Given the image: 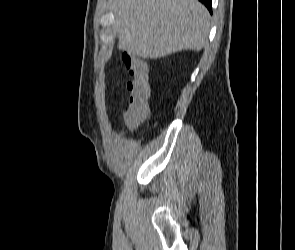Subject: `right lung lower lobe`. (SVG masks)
Returning a JSON list of instances; mask_svg holds the SVG:
<instances>
[{
  "mask_svg": "<svg viewBox=\"0 0 295 250\" xmlns=\"http://www.w3.org/2000/svg\"><path fill=\"white\" fill-rule=\"evenodd\" d=\"M199 1L202 2L212 13V0H199Z\"/></svg>",
  "mask_w": 295,
  "mask_h": 250,
  "instance_id": "1",
  "label": "right lung lower lobe"
}]
</instances>
